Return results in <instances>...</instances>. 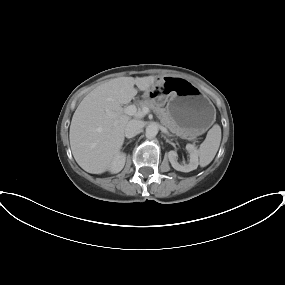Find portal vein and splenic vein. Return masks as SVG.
Instances as JSON below:
<instances>
[{
  "mask_svg": "<svg viewBox=\"0 0 285 285\" xmlns=\"http://www.w3.org/2000/svg\"><path fill=\"white\" fill-rule=\"evenodd\" d=\"M123 112L126 115L141 118L144 117L149 112V108L143 107L141 110H138L135 105H129L123 109Z\"/></svg>",
  "mask_w": 285,
  "mask_h": 285,
  "instance_id": "18ae733b",
  "label": "portal vein and splenic vein"
}]
</instances>
